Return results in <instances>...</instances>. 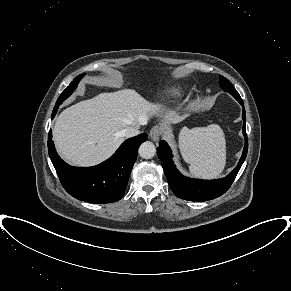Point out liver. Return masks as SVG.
Returning a JSON list of instances; mask_svg holds the SVG:
<instances>
[{
	"instance_id": "obj_1",
	"label": "liver",
	"mask_w": 291,
	"mask_h": 291,
	"mask_svg": "<svg viewBox=\"0 0 291 291\" xmlns=\"http://www.w3.org/2000/svg\"><path fill=\"white\" fill-rule=\"evenodd\" d=\"M162 107L132 89L101 93L66 108L58 116L53 139L61 157L77 166L96 165L123 142L122 130L140 127ZM175 119L168 117V122Z\"/></svg>"
}]
</instances>
